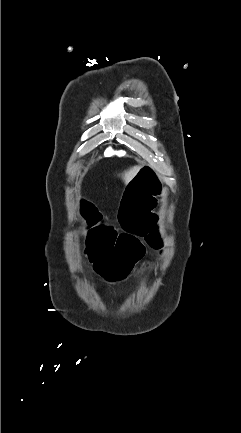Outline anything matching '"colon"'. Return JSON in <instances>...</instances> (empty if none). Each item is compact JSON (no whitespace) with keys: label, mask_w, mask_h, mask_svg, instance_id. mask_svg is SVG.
Wrapping results in <instances>:
<instances>
[{"label":"colon","mask_w":241,"mask_h":433,"mask_svg":"<svg viewBox=\"0 0 241 433\" xmlns=\"http://www.w3.org/2000/svg\"><path fill=\"white\" fill-rule=\"evenodd\" d=\"M137 171L122 187L118 201L120 224L124 230H117L116 225L104 221L105 213L96 212L89 197H81L79 201L85 206V212L79 218L92 222L87 225V238L83 240L85 247H93L87 254L88 263L95 272H103L109 281L125 279L142 258L143 245L137 236H144L151 247L159 248V238L150 233L167 223L165 218L151 214L156 213L151 210L156 208V201L167 192L158 170L151 164H144L139 165ZM138 275H143V270H138Z\"/></svg>","instance_id":"colon-1"}]
</instances>
